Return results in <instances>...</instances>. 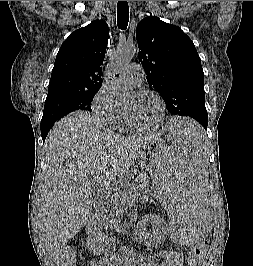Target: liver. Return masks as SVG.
<instances>
[{
    "label": "liver",
    "instance_id": "6515ba94",
    "mask_svg": "<svg viewBox=\"0 0 253 266\" xmlns=\"http://www.w3.org/2000/svg\"><path fill=\"white\" fill-rule=\"evenodd\" d=\"M158 136L123 137L94 115L73 112L50 130L38 223L50 258L59 263L68 240L92 219V178L121 185L131 165Z\"/></svg>",
    "mask_w": 253,
    "mask_h": 266
}]
</instances>
